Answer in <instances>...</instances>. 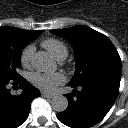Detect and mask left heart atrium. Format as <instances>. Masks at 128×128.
I'll list each match as a JSON object with an SVG mask.
<instances>
[{
  "label": "left heart atrium",
  "mask_w": 128,
  "mask_h": 128,
  "mask_svg": "<svg viewBox=\"0 0 128 128\" xmlns=\"http://www.w3.org/2000/svg\"><path fill=\"white\" fill-rule=\"evenodd\" d=\"M31 82L41 90L51 92L55 90L58 85H61L65 82V77L61 73H33L31 75Z\"/></svg>",
  "instance_id": "left-heart-atrium-1"
}]
</instances>
